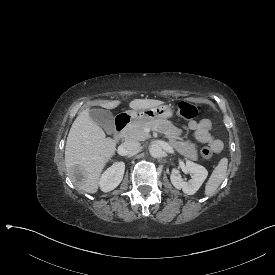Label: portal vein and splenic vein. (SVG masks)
<instances>
[{
  "label": "portal vein and splenic vein",
  "mask_w": 275,
  "mask_h": 275,
  "mask_svg": "<svg viewBox=\"0 0 275 275\" xmlns=\"http://www.w3.org/2000/svg\"><path fill=\"white\" fill-rule=\"evenodd\" d=\"M144 131H145V132H149V131H150V129H149V128H146V129H144Z\"/></svg>",
  "instance_id": "18ae733b"
}]
</instances>
